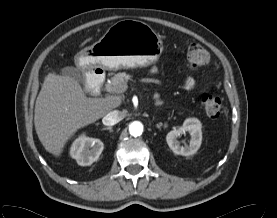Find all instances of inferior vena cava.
Listing matches in <instances>:
<instances>
[{
    "label": "inferior vena cava",
    "instance_id": "obj_1",
    "mask_svg": "<svg viewBox=\"0 0 277 218\" xmlns=\"http://www.w3.org/2000/svg\"><path fill=\"white\" fill-rule=\"evenodd\" d=\"M123 119V114L119 110H113L107 113L103 119L102 122L105 126H113L120 122Z\"/></svg>",
    "mask_w": 277,
    "mask_h": 218
}]
</instances>
